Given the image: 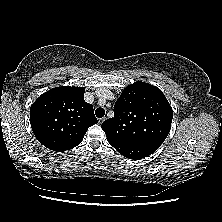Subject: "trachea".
<instances>
[{"label": "trachea", "mask_w": 222, "mask_h": 222, "mask_svg": "<svg viewBox=\"0 0 222 222\" xmlns=\"http://www.w3.org/2000/svg\"><path fill=\"white\" fill-rule=\"evenodd\" d=\"M95 115L98 117V118H102L104 117L105 115V110L103 108H97L95 110Z\"/></svg>", "instance_id": "1"}]
</instances>
